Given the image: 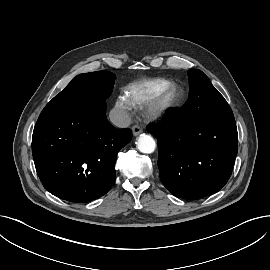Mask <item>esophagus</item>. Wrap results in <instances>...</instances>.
<instances>
[{
    "instance_id": "obj_1",
    "label": "esophagus",
    "mask_w": 270,
    "mask_h": 270,
    "mask_svg": "<svg viewBox=\"0 0 270 270\" xmlns=\"http://www.w3.org/2000/svg\"><path fill=\"white\" fill-rule=\"evenodd\" d=\"M132 133L134 136H138L140 133H142V128L139 125H134L132 127Z\"/></svg>"
}]
</instances>
